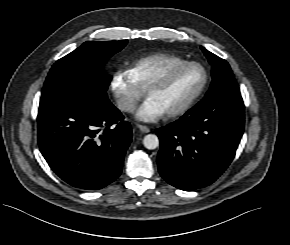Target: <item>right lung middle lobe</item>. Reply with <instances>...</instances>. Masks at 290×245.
I'll list each match as a JSON object with an SVG mask.
<instances>
[{
	"label": "right lung middle lobe",
	"instance_id": "dd1d6c3e",
	"mask_svg": "<svg viewBox=\"0 0 290 245\" xmlns=\"http://www.w3.org/2000/svg\"><path fill=\"white\" fill-rule=\"evenodd\" d=\"M126 44L127 40L87 41L59 59L46 78L40 106L68 102L84 95L108 99L106 90L112 77L101 73L91 78L89 72L97 66L104 65Z\"/></svg>",
	"mask_w": 290,
	"mask_h": 245
}]
</instances>
